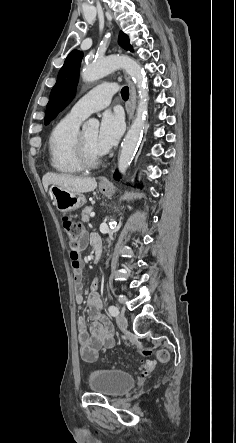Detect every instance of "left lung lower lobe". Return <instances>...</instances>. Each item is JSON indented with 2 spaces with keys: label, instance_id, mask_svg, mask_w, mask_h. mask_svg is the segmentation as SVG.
I'll use <instances>...</instances> for the list:
<instances>
[{
  "label": "left lung lower lobe",
  "instance_id": "left-lung-lower-lobe-1",
  "mask_svg": "<svg viewBox=\"0 0 236 443\" xmlns=\"http://www.w3.org/2000/svg\"><path fill=\"white\" fill-rule=\"evenodd\" d=\"M114 177H115L116 180H118V178L120 177V175L118 174V172L115 173Z\"/></svg>",
  "mask_w": 236,
  "mask_h": 443
}]
</instances>
